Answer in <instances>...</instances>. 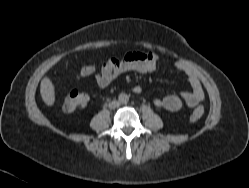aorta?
I'll return each mask as SVG.
<instances>
[{
    "mask_svg": "<svg viewBox=\"0 0 249 188\" xmlns=\"http://www.w3.org/2000/svg\"><path fill=\"white\" fill-rule=\"evenodd\" d=\"M118 100L122 104H127L128 101H129V96L127 94H125V93H121L118 96Z\"/></svg>",
    "mask_w": 249,
    "mask_h": 188,
    "instance_id": "1",
    "label": "aorta"
}]
</instances>
